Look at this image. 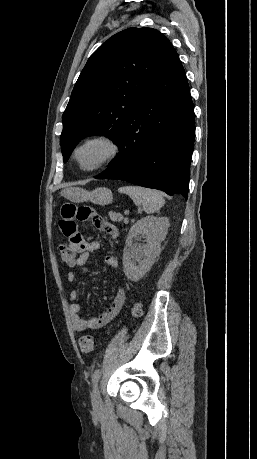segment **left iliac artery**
I'll return each instance as SVG.
<instances>
[{
    "label": "left iliac artery",
    "mask_w": 257,
    "mask_h": 459,
    "mask_svg": "<svg viewBox=\"0 0 257 459\" xmlns=\"http://www.w3.org/2000/svg\"><path fill=\"white\" fill-rule=\"evenodd\" d=\"M100 376H101V370L100 369H96L92 375V383L93 385H97L99 379H100Z\"/></svg>",
    "instance_id": "1"
}]
</instances>
